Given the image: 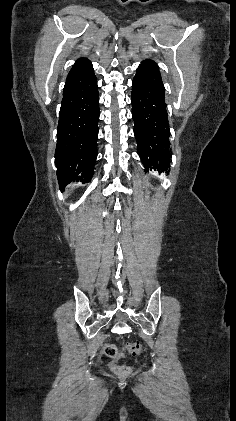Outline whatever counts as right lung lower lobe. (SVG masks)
Returning a JSON list of instances; mask_svg holds the SVG:
<instances>
[{"label":"right lung lower lobe","mask_w":236,"mask_h":421,"mask_svg":"<svg viewBox=\"0 0 236 421\" xmlns=\"http://www.w3.org/2000/svg\"><path fill=\"white\" fill-rule=\"evenodd\" d=\"M99 95L91 62L78 59L63 89L55 163L60 188L90 182L97 157Z\"/></svg>","instance_id":"98d812e1"}]
</instances>
